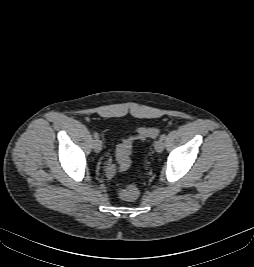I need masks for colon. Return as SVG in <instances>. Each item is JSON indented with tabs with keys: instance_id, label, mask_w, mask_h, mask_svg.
<instances>
[{
	"instance_id": "obj_1",
	"label": "colon",
	"mask_w": 254,
	"mask_h": 267,
	"mask_svg": "<svg viewBox=\"0 0 254 267\" xmlns=\"http://www.w3.org/2000/svg\"><path fill=\"white\" fill-rule=\"evenodd\" d=\"M159 129L155 127L140 128L134 136L124 138L117 146L116 157L121 171H126L131 164L130 155L132 145L135 140H145L154 138L159 134ZM119 196L123 200L134 201L139 196V190L133 185H128L119 189Z\"/></svg>"
}]
</instances>
